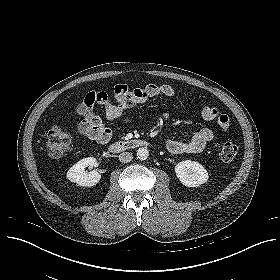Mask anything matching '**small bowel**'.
I'll return each instance as SVG.
<instances>
[{
	"label": "small bowel",
	"instance_id": "small-bowel-1",
	"mask_svg": "<svg viewBox=\"0 0 280 280\" xmlns=\"http://www.w3.org/2000/svg\"><path fill=\"white\" fill-rule=\"evenodd\" d=\"M175 94V89L168 84H148L145 87L132 90L125 84H119L114 87L113 93L102 90L90 91L76 108L77 114L81 117V121L78 124V131L80 134L86 136H90V131L92 129L108 131L109 135L107 140L98 139L101 142H107L111 137V131L94 112L96 104H99L103 108L106 118L113 121L121 117L127 109L142 105L150 98L159 95L173 97ZM113 97L116 101H113ZM211 109L213 108H204L202 110V116L206 118L205 115ZM213 138L214 133L212 130L209 128H202L189 140H168L166 142V149L172 154L196 152L202 150Z\"/></svg>",
	"mask_w": 280,
	"mask_h": 280
}]
</instances>
